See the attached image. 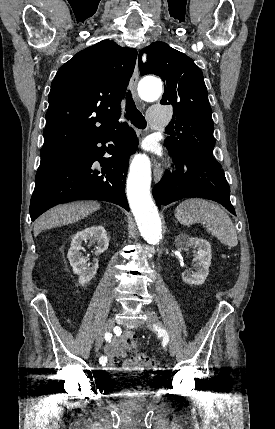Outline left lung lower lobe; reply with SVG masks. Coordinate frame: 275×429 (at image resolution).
Returning <instances> with one entry per match:
<instances>
[{
    "label": "left lung lower lobe",
    "mask_w": 275,
    "mask_h": 429,
    "mask_svg": "<svg viewBox=\"0 0 275 429\" xmlns=\"http://www.w3.org/2000/svg\"><path fill=\"white\" fill-rule=\"evenodd\" d=\"M169 153L177 171L172 174L166 171L153 189L159 208L183 198L200 197L214 200L236 215L230 202V187L224 171L213 156L206 153L176 156Z\"/></svg>",
    "instance_id": "left-lung-lower-lobe-1"
}]
</instances>
